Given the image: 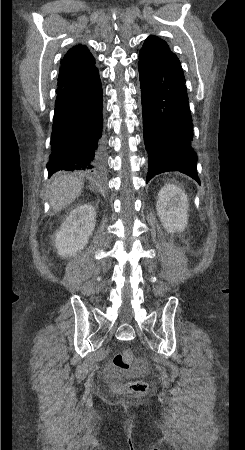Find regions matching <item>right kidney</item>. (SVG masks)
<instances>
[{"instance_id":"1","label":"right kidney","mask_w":245,"mask_h":450,"mask_svg":"<svg viewBox=\"0 0 245 450\" xmlns=\"http://www.w3.org/2000/svg\"><path fill=\"white\" fill-rule=\"evenodd\" d=\"M96 224V211L90 204L76 207L56 234L55 246L62 258L72 257L88 243Z\"/></svg>"}]
</instances>
